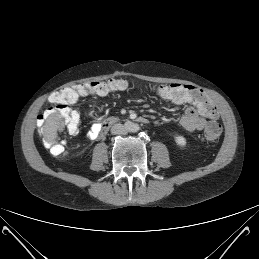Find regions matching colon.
<instances>
[{
	"instance_id": "5ec220e1",
	"label": "colon",
	"mask_w": 259,
	"mask_h": 259,
	"mask_svg": "<svg viewBox=\"0 0 259 259\" xmlns=\"http://www.w3.org/2000/svg\"><path fill=\"white\" fill-rule=\"evenodd\" d=\"M129 87V82L125 79H109L101 81H91L81 84L76 88H63L55 91L50 96V102L56 105V109L50 111L49 114H58L64 125L70 133H77L80 123V116L71 105H73L80 95L88 92L97 95H106L110 92L125 90ZM152 90L160 96L165 103H184L189 100L199 101L204 96V91L199 86L185 84H168L156 85ZM45 115H39L37 123L41 126L44 122ZM221 134V127L216 122H209L204 131L205 139L209 142L216 141ZM49 150L54 155H63L65 153V143L59 138L49 143Z\"/></svg>"
}]
</instances>
